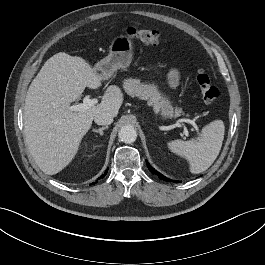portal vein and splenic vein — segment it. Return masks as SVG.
Here are the masks:
<instances>
[{"label":"portal vein and splenic vein","instance_id":"portal-vein-and-splenic-vein-1","mask_svg":"<svg viewBox=\"0 0 265 265\" xmlns=\"http://www.w3.org/2000/svg\"><path fill=\"white\" fill-rule=\"evenodd\" d=\"M97 102H98L97 99H95V98L92 99V98H90L89 95H87L84 97L83 103L70 106L69 109L71 111H84V110H87V109L91 108L92 106H94ZM181 122H182V120H178L177 124L180 125ZM189 123H191L192 125L195 126V123L193 121H189ZM184 134H185V136H188V131L185 127H184Z\"/></svg>","mask_w":265,"mask_h":265}]
</instances>
